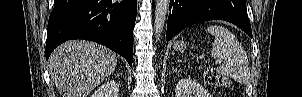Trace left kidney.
<instances>
[{"mask_svg": "<svg viewBox=\"0 0 302 97\" xmlns=\"http://www.w3.org/2000/svg\"><path fill=\"white\" fill-rule=\"evenodd\" d=\"M176 97H211V94L199 83L182 78L176 85Z\"/></svg>", "mask_w": 302, "mask_h": 97, "instance_id": "5707ae66", "label": "left kidney"}]
</instances>
